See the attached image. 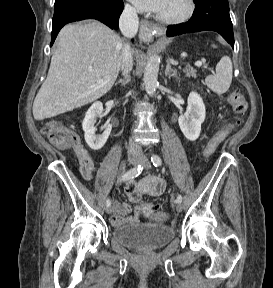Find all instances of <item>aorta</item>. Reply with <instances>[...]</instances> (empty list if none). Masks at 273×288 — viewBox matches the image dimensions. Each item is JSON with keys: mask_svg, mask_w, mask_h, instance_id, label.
<instances>
[{"mask_svg": "<svg viewBox=\"0 0 273 288\" xmlns=\"http://www.w3.org/2000/svg\"><path fill=\"white\" fill-rule=\"evenodd\" d=\"M160 59L158 55L150 56L144 71V85L148 95L153 96L157 89Z\"/></svg>", "mask_w": 273, "mask_h": 288, "instance_id": "1", "label": "aorta"}]
</instances>
